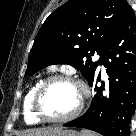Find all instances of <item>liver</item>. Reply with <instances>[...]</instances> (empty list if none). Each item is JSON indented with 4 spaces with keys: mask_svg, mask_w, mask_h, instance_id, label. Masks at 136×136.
Wrapping results in <instances>:
<instances>
[{
    "mask_svg": "<svg viewBox=\"0 0 136 136\" xmlns=\"http://www.w3.org/2000/svg\"><path fill=\"white\" fill-rule=\"evenodd\" d=\"M59 130H61V128L35 129L31 130L27 136H51Z\"/></svg>",
    "mask_w": 136,
    "mask_h": 136,
    "instance_id": "6515ba94",
    "label": "liver"
}]
</instances>
